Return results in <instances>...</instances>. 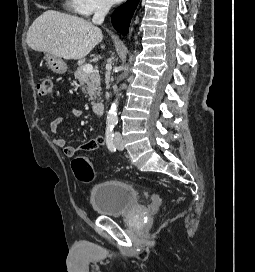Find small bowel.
I'll return each mask as SVG.
<instances>
[{
    "instance_id": "small-bowel-1",
    "label": "small bowel",
    "mask_w": 255,
    "mask_h": 272,
    "mask_svg": "<svg viewBox=\"0 0 255 272\" xmlns=\"http://www.w3.org/2000/svg\"><path fill=\"white\" fill-rule=\"evenodd\" d=\"M72 114L76 118H80L83 116V111L80 108H74L72 110ZM64 118L62 116L55 117L50 123V131L53 134L52 143L61 148L67 157H73L77 153V150L81 151H94L104 145V138L101 135H97L94 138L85 141L79 145V147H75L73 145L67 144L66 140L59 135V128L62 125Z\"/></svg>"
}]
</instances>
